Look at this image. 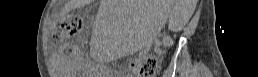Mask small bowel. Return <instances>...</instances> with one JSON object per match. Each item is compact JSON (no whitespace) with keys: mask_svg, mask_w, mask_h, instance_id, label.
<instances>
[{"mask_svg":"<svg viewBox=\"0 0 258 77\" xmlns=\"http://www.w3.org/2000/svg\"><path fill=\"white\" fill-rule=\"evenodd\" d=\"M67 63H68L69 68H70L71 70H73V69L75 68V63H74V61L71 60V59L68 58V57H67Z\"/></svg>","mask_w":258,"mask_h":77,"instance_id":"obj_1","label":"small bowel"}]
</instances>
